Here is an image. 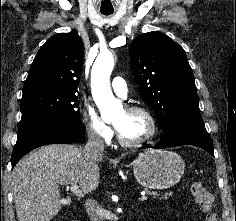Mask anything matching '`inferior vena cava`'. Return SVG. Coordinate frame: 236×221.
I'll use <instances>...</instances> for the list:
<instances>
[{
  "label": "inferior vena cava",
  "instance_id": "602c4592",
  "mask_svg": "<svg viewBox=\"0 0 236 221\" xmlns=\"http://www.w3.org/2000/svg\"><path fill=\"white\" fill-rule=\"evenodd\" d=\"M104 141L94 130L88 132V142L85 146V152L89 157L96 158L103 156ZM85 208L91 221H104L103 210L94 199H87Z\"/></svg>",
  "mask_w": 236,
  "mask_h": 221
}]
</instances>
